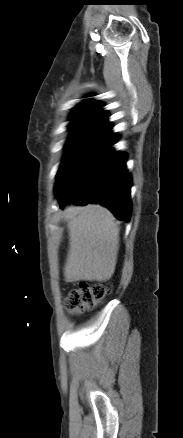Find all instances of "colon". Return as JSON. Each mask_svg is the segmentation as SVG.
I'll return each instance as SVG.
<instances>
[{"label":"colon","mask_w":183,"mask_h":438,"mask_svg":"<svg viewBox=\"0 0 183 438\" xmlns=\"http://www.w3.org/2000/svg\"><path fill=\"white\" fill-rule=\"evenodd\" d=\"M110 292L107 285L81 282L76 288L70 291L66 304L72 314H79L93 309Z\"/></svg>","instance_id":"1"}]
</instances>
